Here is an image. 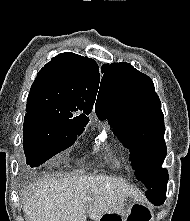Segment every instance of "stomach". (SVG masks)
<instances>
[{
	"label": "stomach",
	"mask_w": 190,
	"mask_h": 221,
	"mask_svg": "<svg viewBox=\"0 0 190 221\" xmlns=\"http://www.w3.org/2000/svg\"><path fill=\"white\" fill-rule=\"evenodd\" d=\"M123 209L126 211H108L103 213L98 221H149V218L132 217H152L151 208H147L144 200H122Z\"/></svg>",
	"instance_id": "1"
}]
</instances>
